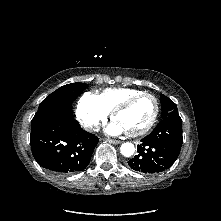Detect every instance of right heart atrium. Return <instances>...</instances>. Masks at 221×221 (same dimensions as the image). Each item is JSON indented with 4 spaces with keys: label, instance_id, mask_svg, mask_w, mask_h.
<instances>
[{
    "label": "right heart atrium",
    "instance_id": "obj_1",
    "mask_svg": "<svg viewBox=\"0 0 221 221\" xmlns=\"http://www.w3.org/2000/svg\"><path fill=\"white\" fill-rule=\"evenodd\" d=\"M77 119L88 131H95L100 123L106 120L109 111L104 107L99 96L85 92L78 101Z\"/></svg>",
    "mask_w": 221,
    "mask_h": 221
}]
</instances>
